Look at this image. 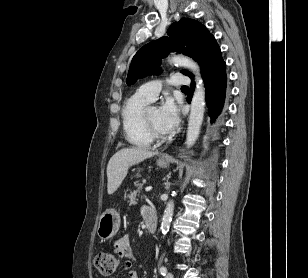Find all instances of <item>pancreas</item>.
<instances>
[{
    "label": "pancreas",
    "instance_id": "1",
    "mask_svg": "<svg viewBox=\"0 0 308 278\" xmlns=\"http://www.w3.org/2000/svg\"><path fill=\"white\" fill-rule=\"evenodd\" d=\"M142 189V184L138 185L136 190L130 191V194L127 196L129 198V205H135L137 203L136 196L140 193Z\"/></svg>",
    "mask_w": 308,
    "mask_h": 278
}]
</instances>
